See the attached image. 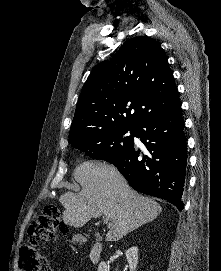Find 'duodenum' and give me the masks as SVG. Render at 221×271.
Listing matches in <instances>:
<instances>
[{"instance_id": "410a0bca", "label": "duodenum", "mask_w": 221, "mask_h": 271, "mask_svg": "<svg viewBox=\"0 0 221 271\" xmlns=\"http://www.w3.org/2000/svg\"><path fill=\"white\" fill-rule=\"evenodd\" d=\"M103 245L101 242H96L92 245L89 251V261L90 264L95 266L97 265L102 257Z\"/></svg>"}]
</instances>
